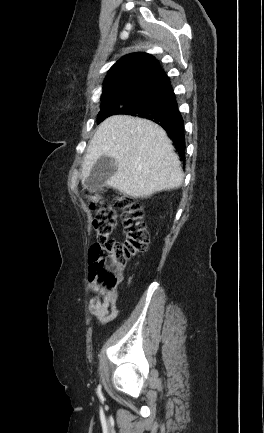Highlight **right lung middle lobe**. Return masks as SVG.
I'll use <instances>...</instances> for the list:
<instances>
[{
  "instance_id": "dd1d6c3e",
  "label": "right lung middle lobe",
  "mask_w": 264,
  "mask_h": 433,
  "mask_svg": "<svg viewBox=\"0 0 264 433\" xmlns=\"http://www.w3.org/2000/svg\"><path fill=\"white\" fill-rule=\"evenodd\" d=\"M140 89V87L129 88L113 96L101 98L102 103L101 110L98 114V123L108 116L128 113L131 103L139 96Z\"/></svg>"
}]
</instances>
